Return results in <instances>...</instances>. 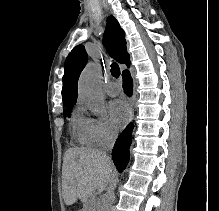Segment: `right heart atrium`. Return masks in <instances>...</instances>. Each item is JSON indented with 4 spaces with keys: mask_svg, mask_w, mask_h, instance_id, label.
I'll list each match as a JSON object with an SVG mask.
<instances>
[{
    "mask_svg": "<svg viewBox=\"0 0 219 211\" xmlns=\"http://www.w3.org/2000/svg\"><path fill=\"white\" fill-rule=\"evenodd\" d=\"M86 120L88 133L95 145L104 147L114 142L118 130L106 115L98 113L94 117H87Z\"/></svg>",
    "mask_w": 219,
    "mask_h": 211,
    "instance_id": "1",
    "label": "right heart atrium"
}]
</instances>
